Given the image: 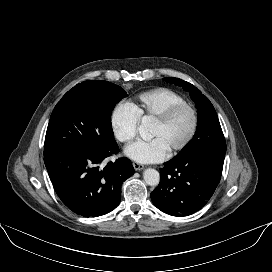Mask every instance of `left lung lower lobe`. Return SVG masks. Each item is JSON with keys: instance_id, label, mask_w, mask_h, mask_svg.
Returning a JSON list of instances; mask_svg holds the SVG:
<instances>
[{"instance_id": "left-lung-lower-lobe-1", "label": "left lung lower lobe", "mask_w": 272, "mask_h": 272, "mask_svg": "<svg viewBox=\"0 0 272 272\" xmlns=\"http://www.w3.org/2000/svg\"><path fill=\"white\" fill-rule=\"evenodd\" d=\"M223 163L188 155L161 168V182L151 193L153 204L173 216H188L205 206L219 184Z\"/></svg>"}]
</instances>
